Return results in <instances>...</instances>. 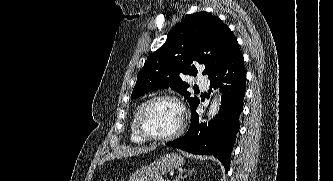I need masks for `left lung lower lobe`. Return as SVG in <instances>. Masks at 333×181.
<instances>
[{
    "label": "left lung lower lobe",
    "mask_w": 333,
    "mask_h": 181,
    "mask_svg": "<svg viewBox=\"0 0 333 181\" xmlns=\"http://www.w3.org/2000/svg\"><path fill=\"white\" fill-rule=\"evenodd\" d=\"M210 86H219L222 92L219 113L207 124H198L197 106L192 108L191 125L187 133L166 146L180 148L196 155H213L230 168V155L239 131V115L243 110L246 91V71L239 46L209 77Z\"/></svg>",
    "instance_id": "0a47b994"
}]
</instances>
